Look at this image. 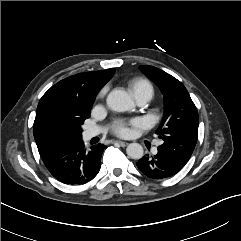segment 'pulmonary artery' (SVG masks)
Listing matches in <instances>:
<instances>
[{"label":"pulmonary artery","instance_id":"pulmonary-artery-1","mask_svg":"<svg viewBox=\"0 0 241 241\" xmlns=\"http://www.w3.org/2000/svg\"><path fill=\"white\" fill-rule=\"evenodd\" d=\"M151 95L150 94H141L136 98V101L139 105H145L150 99H151ZM99 133V130L97 128H89L87 130L84 131L83 136L84 139H90L94 136H96Z\"/></svg>","mask_w":241,"mask_h":241}]
</instances>
